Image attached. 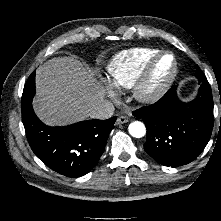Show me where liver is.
Segmentation results:
<instances>
[{
	"instance_id": "6515ba94",
	"label": "liver",
	"mask_w": 221,
	"mask_h": 221,
	"mask_svg": "<svg viewBox=\"0 0 221 221\" xmlns=\"http://www.w3.org/2000/svg\"><path fill=\"white\" fill-rule=\"evenodd\" d=\"M36 93L34 111L49 126L85 120L105 96L93 73L72 57L42 64L36 71Z\"/></svg>"
}]
</instances>
